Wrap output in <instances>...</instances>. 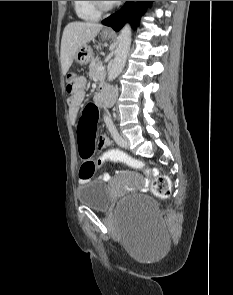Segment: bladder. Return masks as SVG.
<instances>
[{
    "mask_svg": "<svg viewBox=\"0 0 233 295\" xmlns=\"http://www.w3.org/2000/svg\"><path fill=\"white\" fill-rule=\"evenodd\" d=\"M76 198L80 205L95 211L105 212L110 207L111 197L108 186L100 180H91L80 185L76 190ZM121 213H138L147 220L159 217L155 200L147 195H131L119 205Z\"/></svg>",
    "mask_w": 233,
    "mask_h": 295,
    "instance_id": "31cf9c89",
    "label": "bladder"
}]
</instances>
